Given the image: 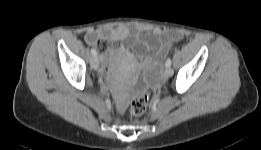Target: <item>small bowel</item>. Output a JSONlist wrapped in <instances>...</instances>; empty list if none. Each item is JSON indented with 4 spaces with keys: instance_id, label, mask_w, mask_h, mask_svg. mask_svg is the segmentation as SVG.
Masks as SVG:
<instances>
[{
    "instance_id": "obj_1",
    "label": "small bowel",
    "mask_w": 261,
    "mask_h": 150,
    "mask_svg": "<svg viewBox=\"0 0 261 150\" xmlns=\"http://www.w3.org/2000/svg\"><path fill=\"white\" fill-rule=\"evenodd\" d=\"M147 33L148 38L141 37ZM182 34L176 30H164L156 26H118L115 28L104 27L87 31L85 40L89 45H96L97 48L106 52L107 43L123 41L131 47L138 59L132 65L135 71L140 67L146 68V80L154 82L159 72L160 60L165 57L170 47L182 39ZM108 54H104L107 60Z\"/></svg>"
}]
</instances>
